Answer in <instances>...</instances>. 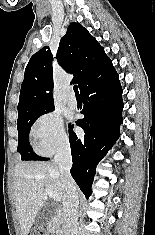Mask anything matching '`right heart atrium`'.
<instances>
[{"label": "right heart atrium", "instance_id": "obj_1", "mask_svg": "<svg viewBox=\"0 0 155 235\" xmlns=\"http://www.w3.org/2000/svg\"><path fill=\"white\" fill-rule=\"evenodd\" d=\"M30 136L35 149L43 155H52L69 146L63 120L53 111L43 113L34 121Z\"/></svg>", "mask_w": 155, "mask_h": 235}]
</instances>
